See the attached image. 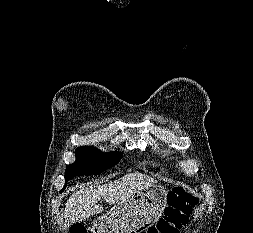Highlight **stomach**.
Segmentation results:
<instances>
[{"label": "stomach", "mask_w": 253, "mask_h": 233, "mask_svg": "<svg viewBox=\"0 0 253 233\" xmlns=\"http://www.w3.org/2000/svg\"><path fill=\"white\" fill-rule=\"evenodd\" d=\"M167 202V191L155 184L116 204L94 222L96 233H141L154 225Z\"/></svg>", "instance_id": "stomach-1"}]
</instances>
